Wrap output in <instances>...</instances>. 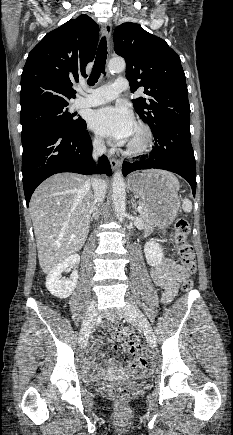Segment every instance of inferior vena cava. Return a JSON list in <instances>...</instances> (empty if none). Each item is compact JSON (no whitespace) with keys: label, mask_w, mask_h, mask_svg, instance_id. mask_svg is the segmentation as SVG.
Here are the masks:
<instances>
[{"label":"inferior vena cava","mask_w":233,"mask_h":435,"mask_svg":"<svg viewBox=\"0 0 233 435\" xmlns=\"http://www.w3.org/2000/svg\"><path fill=\"white\" fill-rule=\"evenodd\" d=\"M93 146H94L95 157L98 154L99 155L103 154L106 150V147L102 140H95ZM91 182L94 190V204H100L105 197L106 184L103 180L99 179L97 176H94Z\"/></svg>","instance_id":"1"}]
</instances>
